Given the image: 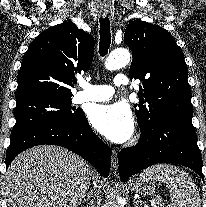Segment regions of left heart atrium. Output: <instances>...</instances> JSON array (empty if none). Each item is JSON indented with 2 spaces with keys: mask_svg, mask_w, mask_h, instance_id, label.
<instances>
[{
  "mask_svg": "<svg viewBox=\"0 0 206 207\" xmlns=\"http://www.w3.org/2000/svg\"><path fill=\"white\" fill-rule=\"evenodd\" d=\"M92 126L114 143L128 141L134 132V118L122 103L95 105L89 115Z\"/></svg>",
  "mask_w": 206,
  "mask_h": 207,
  "instance_id": "obj_1",
  "label": "left heart atrium"
}]
</instances>
